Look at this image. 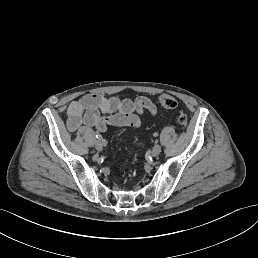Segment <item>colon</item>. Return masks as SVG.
I'll return each instance as SVG.
<instances>
[{
	"label": "colon",
	"instance_id": "colon-1",
	"mask_svg": "<svg viewBox=\"0 0 258 258\" xmlns=\"http://www.w3.org/2000/svg\"><path fill=\"white\" fill-rule=\"evenodd\" d=\"M160 105L165 109H174L177 106L176 100L168 94H163L159 97ZM178 122L182 126L187 125V116L184 112H180L178 116Z\"/></svg>",
	"mask_w": 258,
	"mask_h": 258
}]
</instances>
